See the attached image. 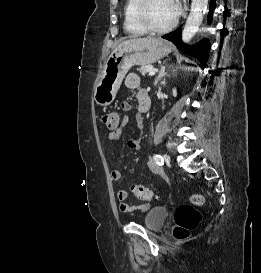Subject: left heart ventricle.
<instances>
[{"mask_svg": "<svg viewBox=\"0 0 261 273\" xmlns=\"http://www.w3.org/2000/svg\"><path fill=\"white\" fill-rule=\"evenodd\" d=\"M176 17L172 0H151L147 9L148 21L156 27L170 24Z\"/></svg>", "mask_w": 261, "mask_h": 273, "instance_id": "obj_1", "label": "left heart ventricle"}]
</instances>
